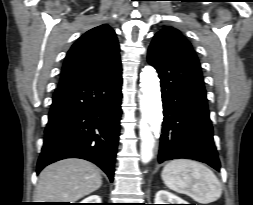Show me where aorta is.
<instances>
[{
    "mask_svg": "<svg viewBox=\"0 0 253 205\" xmlns=\"http://www.w3.org/2000/svg\"><path fill=\"white\" fill-rule=\"evenodd\" d=\"M140 90L143 114L140 121V155L141 161L146 164L153 157L154 135H159L163 118L159 78L153 67L145 66L142 69Z\"/></svg>",
    "mask_w": 253,
    "mask_h": 205,
    "instance_id": "aorta-1",
    "label": "aorta"
}]
</instances>
